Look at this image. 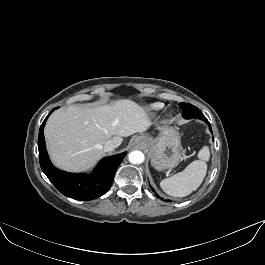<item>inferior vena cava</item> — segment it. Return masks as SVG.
I'll return each mask as SVG.
<instances>
[{
    "instance_id": "inferior-vena-cava-1",
    "label": "inferior vena cava",
    "mask_w": 265,
    "mask_h": 265,
    "mask_svg": "<svg viewBox=\"0 0 265 265\" xmlns=\"http://www.w3.org/2000/svg\"><path fill=\"white\" fill-rule=\"evenodd\" d=\"M116 147H117L116 144H115L112 140H109V141H107V142L104 144V146H103V150H104L105 152H109V151L114 150Z\"/></svg>"
}]
</instances>
